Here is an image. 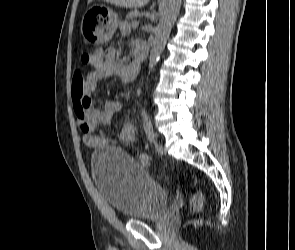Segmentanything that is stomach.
Instances as JSON below:
<instances>
[{
    "mask_svg": "<svg viewBox=\"0 0 295 250\" xmlns=\"http://www.w3.org/2000/svg\"><path fill=\"white\" fill-rule=\"evenodd\" d=\"M119 23L118 15L105 5H93L84 14L81 33L90 45H107Z\"/></svg>",
    "mask_w": 295,
    "mask_h": 250,
    "instance_id": "0dacf381",
    "label": "stomach"
}]
</instances>
